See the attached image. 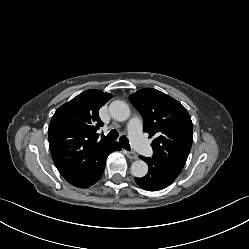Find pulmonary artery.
<instances>
[{"mask_svg": "<svg viewBox=\"0 0 249 249\" xmlns=\"http://www.w3.org/2000/svg\"><path fill=\"white\" fill-rule=\"evenodd\" d=\"M127 131L131 144L143 155H151L152 147L148 144L143 135L142 119L139 116H133L130 119Z\"/></svg>", "mask_w": 249, "mask_h": 249, "instance_id": "obj_1", "label": "pulmonary artery"}]
</instances>
